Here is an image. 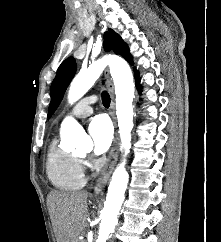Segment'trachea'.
Masks as SVG:
<instances>
[{
    "instance_id": "1",
    "label": "trachea",
    "mask_w": 221,
    "mask_h": 242,
    "mask_svg": "<svg viewBox=\"0 0 221 242\" xmlns=\"http://www.w3.org/2000/svg\"><path fill=\"white\" fill-rule=\"evenodd\" d=\"M101 96H102V102H103L104 107L108 108L110 106L109 94L107 93V91H103Z\"/></svg>"
}]
</instances>
